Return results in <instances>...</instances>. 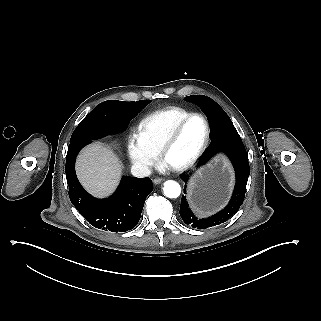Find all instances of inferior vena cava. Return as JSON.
Here are the masks:
<instances>
[{
    "label": "inferior vena cava",
    "mask_w": 321,
    "mask_h": 321,
    "mask_svg": "<svg viewBox=\"0 0 321 321\" xmlns=\"http://www.w3.org/2000/svg\"><path fill=\"white\" fill-rule=\"evenodd\" d=\"M131 173L133 176L141 178L149 176L151 174V170L146 165L136 163L132 165Z\"/></svg>",
    "instance_id": "obj_1"
}]
</instances>
